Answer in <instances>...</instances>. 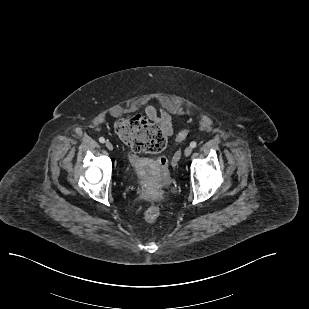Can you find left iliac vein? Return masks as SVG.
<instances>
[{"mask_svg": "<svg viewBox=\"0 0 309 309\" xmlns=\"http://www.w3.org/2000/svg\"><path fill=\"white\" fill-rule=\"evenodd\" d=\"M191 153H192V148L190 146L186 147L184 150L185 156H189Z\"/></svg>", "mask_w": 309, "mask_h": 309, "instance_id": "4c4485c4", "label": "left iliac vein"}]
</instances>
